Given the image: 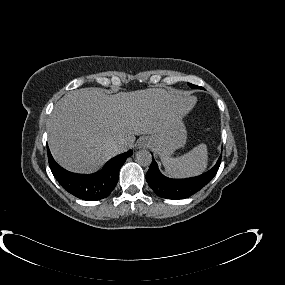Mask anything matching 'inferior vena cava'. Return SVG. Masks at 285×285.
<instances>
[{"label": "inferior vena cava", "mask_w": 285, "mask_h": 285, "mask_svg": "<svg viewBox=\"0 0 285 285\" xmlns=\"http://www.w3.org/2000/svg\"><path fill=\"white\" fill-rule=\"evenodd\" d=\"M124 142H119L116 144L117 149H122L124 147Z\"/></svg>", "instance_id": "inferior-vena-cava-1"}]
</instances>
